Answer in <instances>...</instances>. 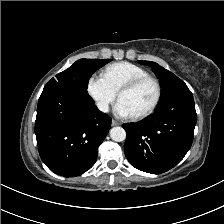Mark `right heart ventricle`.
I'll list each match as a JSON object with an SVG mask.
<instances>
[{
	"label": "right heart ventricle",
	"instance_id": "obj_1",
	"mask_svg": "<svg viewBox=\"0 0 224 224\" xmlns=\"http://www.w3.org/2000/svg\"><path fill=\"white\" fill-rule=\"evenodd\" d=\"M146 75L149 74L145 69L129 62L111 64L102 73L103 78L116 93L128 81Z\"/></svg>",
	"mask_w": 224,
	"mask_h": 224
}]
</instances>
